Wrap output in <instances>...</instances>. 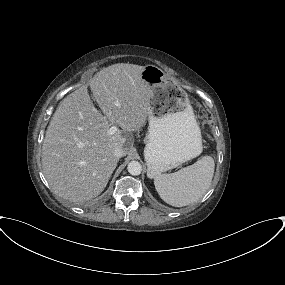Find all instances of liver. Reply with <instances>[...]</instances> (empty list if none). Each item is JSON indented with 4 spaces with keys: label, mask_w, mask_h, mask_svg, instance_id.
I'll return each mask as SVG.
<instances>
[{
    "label": "liver",
    "mask_w": 285,
    "mask_h": 285,
    "mask_svg": "<svg viewBox=\"0 0 285 285\" xmlns=\"http://www.w3.org/2000/svg\"><path fill=\"white\" fill-rule=\"evenodd\" d=\"M143 66L118 63L100 70L90 81L97 110L87 85L65 97L56 109L42 145V167L50 187L63 199L82 203L106 187L118 158L117 147L127 154L132 132L149 116V87L141 78ZM118 125L122 130L110 135ZM125 154V155H126Z\"/></svg>",
    "instance_id": "6515ba94"
}]
</instances>
